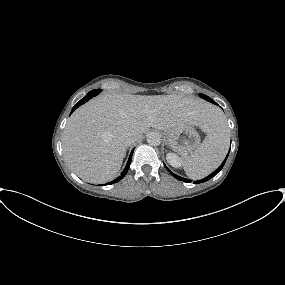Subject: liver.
Segmentation results:
<instances>
[{
  "label": "liver",
  "mask_w": 285,
  "mask_h": 285,
  "mask_svg": "<svg viewBox=\"0 0 285 285\" xmlns=\"http://www.w3.org/2000/svg\"><path fill=\"white\" fill-rule=\"evenodd\" d=\"M218 109L203 100L181 95L104 94L79 107L63 131L65 161L81 179L103 183L119 172L127 146L122 136L141 139L150 127L168 130L184 125L208 133Z\"/></svg>",
  "instance_id": "liver-1"
}]
</instances>
